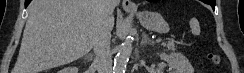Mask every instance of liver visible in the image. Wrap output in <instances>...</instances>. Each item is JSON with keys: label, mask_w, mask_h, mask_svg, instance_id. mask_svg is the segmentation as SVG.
<instances>
[{"label": "liver", "mask_w": 244, "mask_h": 73, "mask_svg": "<svg viewBox=\"0 0 244 73\" xmlns=\"http://www.w3.org/2000/svg\"><path fill=\"white\" fill-rule=\"evenodd\" d=\"M101 11V0H33L12 73H40L86 55ZM108 23L112 29L113 14Z\"/></svg>", "instance_id": "obj_1"}]
</instances>
